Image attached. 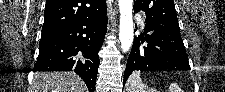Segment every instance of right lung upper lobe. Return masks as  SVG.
I'll list each match as a JSON object with an SVG mask.
<instances>
[{
    "mask_svg": "<svg viewBox=\"0 0 225 92\" xmlns=\"http://www.w3.org/2000/svg\"><path fill=\"white\" fill-rule=\"evenodd\" d=\"M105 9V0H46L42 31L58 32L79 20L94 18Z\"/></svg>",
    "mask_w": 225,
    "mask_h": 92,
    "instance_id": "obj_1",
    "label": "right lung upper lobe"
}]
</instances>
